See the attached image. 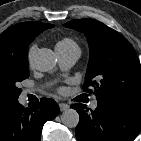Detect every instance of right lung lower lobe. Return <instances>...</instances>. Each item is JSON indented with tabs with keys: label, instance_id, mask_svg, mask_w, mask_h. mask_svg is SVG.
I'll use <instances>...</instances> for the list:
<instances>
[{
	"label": "right lung lower lobe",
	"instance_id": "98d812e1",
	"mask_svg": "<svg viewBox=\"0 0 141 141\" xmlns=\"http://www.w3.org/2000/svg\"><path fill=\"white\" fill-rule=\"evenodd\" d=\"M59 114V106L49 98H42L30 108L18 100L0 106V141H41L44 123Z\"/></svg>",
	"mask_w": 141,
	"mask_h": 141
}]
</instances>
